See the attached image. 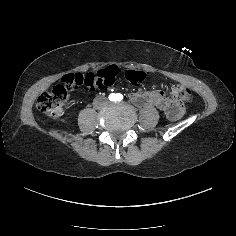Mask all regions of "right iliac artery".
Segmentation results:
<instances>
[{"label": "right iliac artery", "mask_w": 236, "mask_h": 236, "mask_svg": "<svg viewBox=\"0 0 236 236\" xmlns=\"http://www.w3.org/2000/svg\"><path fill=\"white\" fill-rule=\"evenodd\" d=\"M109 100L110 101H116V94L112 93L109 95Z\"/></svg>", "instance_id": "82829eb1"}]
</instances>
